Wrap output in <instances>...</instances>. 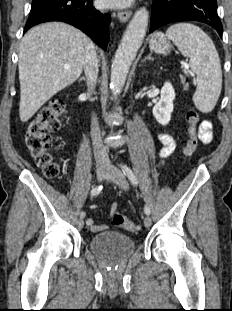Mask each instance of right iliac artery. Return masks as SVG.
Here are the masks:
<instances>
[{"label":"right iliac artery","mask_w":232,"mask_h":311,"mask_svg":"<svg viewBox=\"0 0 232 311\" xmlns=\"http://www.w3.org/2000/svg\"><path fill=\"white\" fill-rule=\"evenodd\" d=\"M102 189H103V186H102V185L93 188V189L91 190V196H92V197L97 196V195L102 191ZM80 216H81V218H83V217L85 216V212H81Z\"/></svg>","instance_id":"right-iliac-artery-1"}]
</instances>
